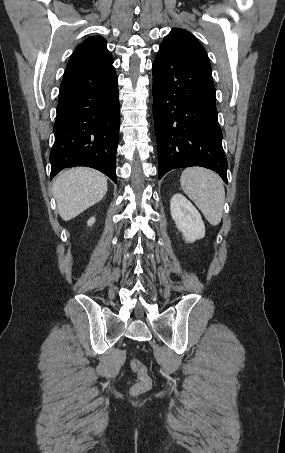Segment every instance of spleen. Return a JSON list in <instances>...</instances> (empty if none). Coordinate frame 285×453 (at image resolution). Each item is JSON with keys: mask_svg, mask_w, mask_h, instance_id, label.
I'll return each mask as SVG.
<instances>
[{"mask_svg": "<svg viewBox=\"0 0 285 453\" xmlns=\"http://www.w3.org/2000/svg\"><path fill=\"white\" fill-rule=\"evenodd\" d=\"M180 184L207 221L217 226L222 219L225 201V189L220 176L205 168L191 167L182 172Z\"/></svg>", "mask_w": 285, "mask_h": 453, "instance_id": "1", "label": "spleen"}]
</instances>
